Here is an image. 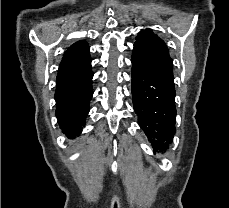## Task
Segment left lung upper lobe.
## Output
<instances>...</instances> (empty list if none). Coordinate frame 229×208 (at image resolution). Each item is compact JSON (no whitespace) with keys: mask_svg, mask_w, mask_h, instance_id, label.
Returning <instances> with one entry per match:
<instances>
[{"mask_svg":"<svg viewBox=\"0 0 229 208\" xmlns=\"http://www.w3.org/2000/svg\"><path fill=\"white\" fill-rule=\"evenodd\" d=\"M132 60L157 82L174 88L173 62L167 46L151 29L142 30L136 37Z\"/></svg>","mask_w":229,"mask_h":208,"instance_id":"5c2ea615","label":"left lung upper lobe"}]
</instances>
